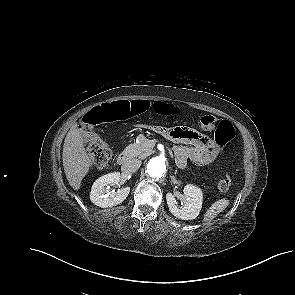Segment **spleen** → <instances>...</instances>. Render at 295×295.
Listing matches in <instances>:
<instances>
[{"instance_id":"1","label":"spleen","mask_w":295,"mask_h":295,"mask_svg":"<svg viewBox=\"0 0 295 295\" xmlns=\"http://www.w3.org/2000/svg\"><path fill=\"white\" fill-rule=\"evenodd\" d=\"M228 205L229 200L225 198L214 202L204 215V223L211 222L219 213L225 210Z\"/></svg>"}]
</instances>
